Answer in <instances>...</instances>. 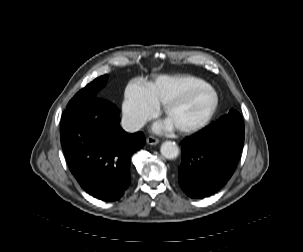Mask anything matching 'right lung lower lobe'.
<instances>
[{"label": "right lung lower lobe", "instance_id": "obj_1", "mask_svg": "<svg viewBox=\"0 0 303 252\" xmlns=\"http://www.w3.org/2000/svg\"><path fill=\"white\" fill-rule=\"evenodd\" d=\"M119 122L117 107L97 99L66 109L61 118V145L72 174L103 201L123 195L130 184L131 155L145 144L142 132L128 134Z\"/></svg>", "mask_w": 303, "mask_h": 252}]
</instances>
